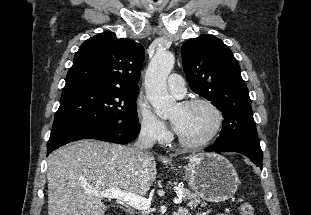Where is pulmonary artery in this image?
I'll list each match as a JSON object with an SVG mask.
<instances>
[{
	"instance_id": "obj_1",
	"label": "pulmonary artery",
	"mask_w": 311,
	"mask_h": 215,
	"mask_svg": "<svg viewBox=\"0 0 311 215\" xmlns=\"http://www.w3.org/2000/svg\"><path fill=\"white\" fill-rule=\"evenodd\" d=\"M167 87L169 91L177 98L184 97L186 93L185 81L181 75L173 73L168 77Z\"/></svg>"
}]
</instances>
